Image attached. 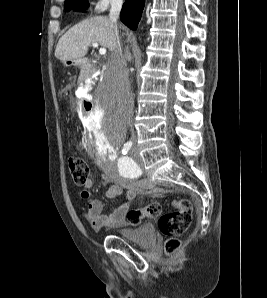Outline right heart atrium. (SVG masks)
I'll list each match as a JSON object with an SVG mask.
<instances>
[{
    "label": "right heart atrium",
    "mask_w": 267,
    "mask_h": 298,
    "mask_svg": "<svg viewBox=\"0 0 267 298\" xmlns=\"http://www.w3.org/2000/svg\"><path fill=\"white\" fill-rule=\"evenodd\" d=\"M123 0H93L92 9L95 13H103L112 6H117L122 3Z\"/></svg>",
    "instance_id": "d8ad5b80"
}]
</instances>
